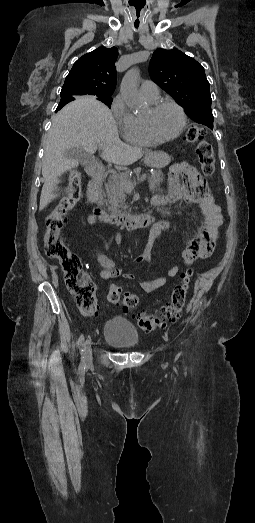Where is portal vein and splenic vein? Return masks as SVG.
<instances>
[{
	"label": "portal vein and splenic vein",
	"mask_w": 255,
	"mask_h": 523,
	"mask_svg": "<svg viewBox=\"0 0 255 523\" xmlns=\"http://www.w3.org/2000/svg\"><path fill=\"white\" fill-rule=\"evenodd\" d=\"M147 180V174L145 172H142L137 179H135V183L132 184V182H123V190H126L129 195H132V191L134 186H137V184H142V182H145Z\"/></svg>",
	"instance_id": "obj_1"
}]
</instances>
